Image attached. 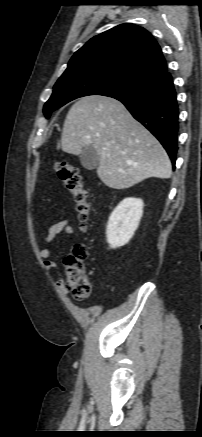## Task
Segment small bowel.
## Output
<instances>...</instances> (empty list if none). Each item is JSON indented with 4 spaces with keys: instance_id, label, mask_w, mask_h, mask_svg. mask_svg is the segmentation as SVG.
I'll use <instances>...</instances> for the list:
<instances>
[{
    "instance_id": "obj_1",
    "label": "small bowel",
    "mask_w": 202,
    "mask_h": 437,
    "mask_svg": "<svg viewBox=\"0 0 202 437\" xmlns=\"http://www.w3.org/2000/svg\"><path fill=\"white\" fill-rule=\"evenodd\" d=\"M76 233V229L73 225H71L70 220L68 218L62 219L54 224H52L48 232L44 238L45 243L49 244L53 242L59 235H73ZM40 256L43 259V265L47 271L56 270L57 264L53 261L52 251L48 248H44L40 251ZM60 288L64 293L66 291L63 289L61 284L59 283Z\"/></svg>"
}]
</instances>
